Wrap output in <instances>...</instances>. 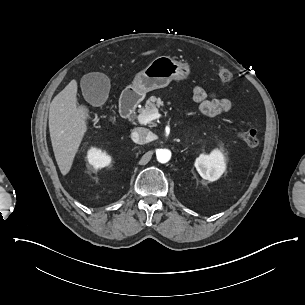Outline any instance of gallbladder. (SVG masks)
Here are the masks:
<instances>
[{"mask_svg": "<svg viewBox=\"0 0 305 305\" xmlns=\"http://www.w3.org/2000/svg\"><path fill=\"white\" fill-rule=\"evenodd\" d=\"M82 95L87 103L96 108H102L109 98L110 79L107 75L92 72L81 78Z\"/></svg>", "mask_w": 305, "mask_h": 305, "instance_id": "bac80fb5", "label": "gallbladder"}]
</instances>
